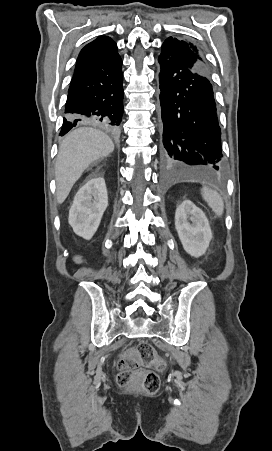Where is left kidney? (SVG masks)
<instances>
[{
    "label": "left kidney",
    "mask_w": 272,
    "mask_h": 451,
    "mask_svg": "<svg viewBox=\"0 0 272 451\" xmlns=\"http://www.w3.org/2000/svg\"><path fill=\"white\" fill-rule=\"evenodd\" d=\"M192 222V224H189ZM175 227L182 245L190 255L199 257L205 253L212 231L209 222L200 208L190 200H184L175 212Z\"/></svg>",
    "instance_id": "5707ae66"
}]
</instances>
